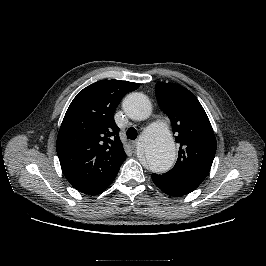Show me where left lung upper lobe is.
<instances>
[{"instance_id":"left-lung-upper-lobe-1","label":"left lung upper lobe","mask_w":266,"mask_h":266,"mask_svg":"<svg viewBox=\"0 0 266 266\" xmlns=\"http://www.w3.org/2000/svg\"><path fill=\"white\" fill-rule=\"evenodd\" d=\"M156 96L180 144L177 162L165 175L198 187L207 177L216 153L208 116L195 95L183 86L157 83Z\"/></svg>"}]
</instances>
